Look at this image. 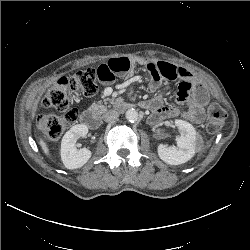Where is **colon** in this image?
<instances>
[{
	"label": "colon",
	"mask_w": 250,
	"mask_h": 250,
	"mask_svg": "<svg viewBox=\"0 0 250 250\" xmlns=\"http://www.w3.org/2000/svg\"><path fill=\"white\" fill-rule=\"evenodd\" d=\"M98 74L94 68L80 70L69 77L56 80L42 98V105L62 113V115L41 114L37 118V125L50 140L58 139L66 127L75 122L78 117L76 108L71 106L74 94L86 97L97 93ZM226 113L217 104H210L207 108L206 128L209 133L218 132L224 125Z\"/></svg>",
	"instance_id": "5ec220e1"
}]
</instances>
